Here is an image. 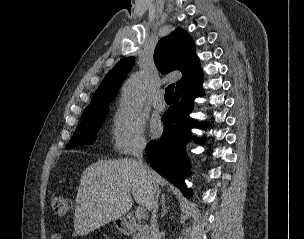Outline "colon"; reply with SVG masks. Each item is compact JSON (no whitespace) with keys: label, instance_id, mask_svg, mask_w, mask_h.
I'll return each mask as SVG.
<instances>
[{"label":"colon","instance_id":"5ec220e1","mask_svg":"<svg viewBox=\"0 0 304 239\" xmlns=\"http://www.w3.org/2000/svg\"><path fill=\"white\" fill-rule=\"evenodd\" d=\"M51 206L55 215L59 218L65 217L71 210V199L65 196H55L51 200Z\"/></svg>","mask_w":304,"mask_h":239}]
</instances>
